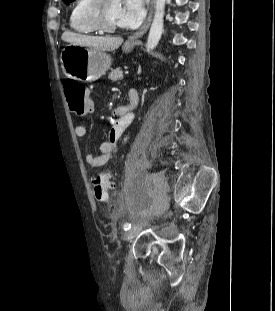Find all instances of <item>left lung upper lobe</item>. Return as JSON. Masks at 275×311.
I'll use <instances>...</instances> for the list:
<instances>
[{"label": "left lung upper lobe", "instance_id": "1", "mask_svg": "<svg viewBox=\"0 0 275 311\" xmlns=\"http://www.w3.org/2000/svg\"><path fill=\"white\" fill-rule=\"evenodd\" d=\"M66 4L73 2L74 0H63Z\"/></svg>", "mask_w": 275, "mask_h": 311}]
</instances>
